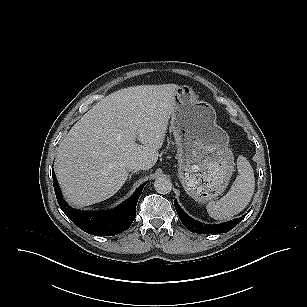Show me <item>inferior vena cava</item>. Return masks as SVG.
Listing matches in <instances>:
<instances>
[{
  "label": "inferior vena cava",
  "instance_id": "obj_1",
  "mask_svg": "<svg viewBox=\"0 0 307 307\" xmlns=\"http://www.w3.org/2000/svg\"><path fill=\"white\" fill-rule=\"evenodd\" d=\"M126 168L128 170H131V171H138V170H144L145 165H144V163H142L140 161L132 160V161H128L126 163Z\"/></svg>",
  "mask_w": 307,
  "mask_h": 307
}]
</instances>
